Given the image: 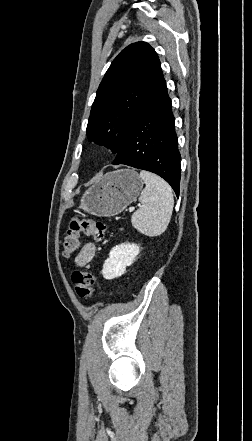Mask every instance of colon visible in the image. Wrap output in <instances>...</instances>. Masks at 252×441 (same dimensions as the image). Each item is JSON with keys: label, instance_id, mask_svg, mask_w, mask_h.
<instances>
[{"label": "colon", "instance_id": "5ec220e1", "mask_svg": "<svg viewBox=\"0 0 252 441\" xmlns=\"http://www.w3.org/2000/svg\"><path fill=\"white\" fill-rule=\"evenodd\" d=\"M107 227L103 222L90 219H74L63 238L64 255L69 256L80 246L81 234L100 241L105 237ZM75 292L80 299H87L92 293L95 282L93 274L86 270H75L72 273Z\"/></svg>", "mask_w": 252, "mask_h": 441}]
</instances>
